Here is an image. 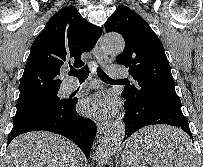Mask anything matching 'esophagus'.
Returning <instances> with one entry per match:
<instances>
[{
  "label": "esophagus",
  "mask_w": 203,
  "mask_h": 167,
  "mask_svg": "<svg viewBox=\"0 0 203 167\" xmlns=\"http://www.w3.org/2000/svg\"><path fill=\"white\" fill-rule=\"evenodd\" d=\"M96 50L98 53V60H99L100 64L104 67L107 66L109 58H108L107 54L105 53V51L103 50L102 37L98 40V42L96 44ZM109 125H110L109 121L99 122L97 125L98 131L100 133L103 132L104 130H106L109 127Z\"/></svg>",
  "instance_id": "34e87169"
}]
</instances>
